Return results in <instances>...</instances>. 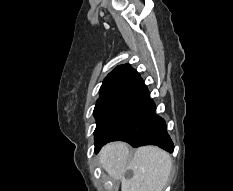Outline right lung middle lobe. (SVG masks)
<instances>
[{"instance_id": "obj_1", "label": "right lung middle lobe", "mask_w": 233, "mask_h": 191, "mask_svg": "<svg viewBox=\"0 0 233 191\" xmlns=\"http://www.w3.org/2000/svg\"><path fill=\"white\" fill-rule=\"evenodd\" d=\"M127 104V95L111 97L96 103L94 116L97 126L94 132L95 142L104 134L120 115Z\"/></svg>"}]
</instances>
